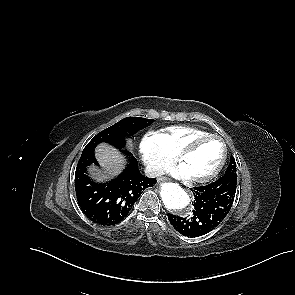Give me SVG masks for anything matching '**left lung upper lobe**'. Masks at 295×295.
Instances as JSON below:
<instances>
[{
	"label": "left lung upper lobe",
	"instance_id": "5c2ea615",
	"mask_svg": "<svg viewBox=\"0 0 295 295\" xmlns=\"http://www.w3.org/2000/svg\"><path fill=\"white\" fill-rule=\"evenodd\" d=\"M225 175H233V176H236L237 177V173H236V163H235V159L233 156H231V159H230V164L227 168V170L225 171Z\"/></svg>",
	"mask_w": 295,
	"mask_h": 295
}]
</instances>
